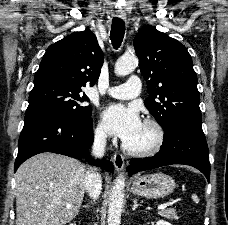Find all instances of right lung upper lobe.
I'll use <instances>...</instances> for the list:
<instances>
[{
    "label": "right lung upper lobe",
    "mask_w": 228,
    "mask_h": 225,
    "mask_svg": "<svg viewBox=\"0 0 228 225\" xmlns=\"http://www.w3.org/2000/svg\"><path fill=\"white\" fill-rule=\"evenodd\" d=\"M103 52L91 30L74 32L50 45L34 77V85L60 82L83 88L96 83Z\"/></svg>",
    "instance_id": "obj_1"
}]
</instances>
